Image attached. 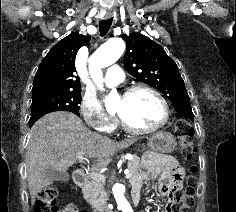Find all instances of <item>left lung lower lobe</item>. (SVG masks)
Masks as SVG:
<instances>
[{"instance_id":"0a47b994","label":"left lung lower lobe","mask_w":236,"mask_h":212,"mask_svg":"<svg viewBox=\"0 0 236 212\" xmlns=\"http://www.w3.org/2000/svg\"><path fill=\"white\" fill-rule=\"evenodd\" d=\"M176 111L177 117H185L193 121L194 115L191 106H180Z\"/></svg>"}]
</instances>
